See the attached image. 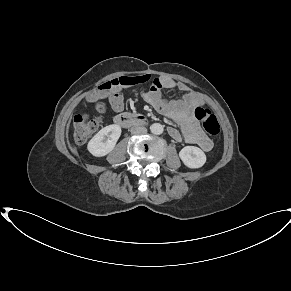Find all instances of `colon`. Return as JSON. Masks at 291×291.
<instances>
[{"label": "colon", "mask_w": 291, "mask_h": 291, "mask_svg": "<svg viewBox=\"0 0 291 291\" xmlns=\"http://www.w3.org/2000/svg\"><path fill=\"white\" fill-rule=\"evenodd\" d=\"M146 81L143 77H118L99 85L97 87V93L101 96H106L113 89L126 88ZM103 110V106H100L99 112H103ZM194 115L200 121L207 134L213 137L219 135L220 125L215 115L209 109L198 106L194 110ZM99 126V120L91 118L87 113L75 115L73 118V127L76 142L83 143L88 140L98 130Z\"/></svg>", "instance_id": "obj_1"}]
</instances>
